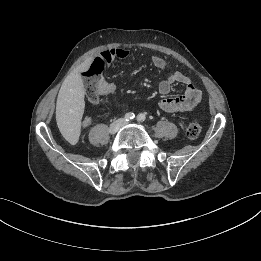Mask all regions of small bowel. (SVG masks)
<instances>
[{"mask_svg":"<svg viewBox=\"0 0 261 261\" xmlns=\"http://www.w3.org/2000/svg\"><path fill=\"white\" fill-rule=\"evenodd\" d=\"M129 56V51L125 48H112L101 52L99 57L103 61L104 65H109L117 59H125ZM151 62L155 68L160 71H167L168 65L166 61L157 55L152 56ZM175 83H181L185 86L184 93L177 96L168 95L171 91V87ZM159 92L163 95V98L159 101V107L166 112L179 113L187 112L194 109L201 99V92L191 82L190 78L185 74L174 71L169 72L166 77L160 81L158 85ZM115 91V86L103 80L102 95H109ZM92 119L87 116L82 120V127L86 128L90 126Z\"/></svg>","mask_w":261,"mask_h":261,"instance_id":"obj_1","label":"small bowel"}]
</instances>
